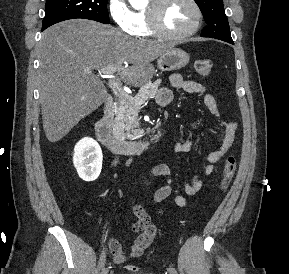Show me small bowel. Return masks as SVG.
Segmentation results:
<instances>
[{"instance_id": "1", "label": "small bowel", "mask_w": 289, "mask_h": 274, "mask_svg": "<svg viewBox=\"0 0 289 274\" xmlns=\"http://www.w3.org/2000/svg\"><path fill=\"white\" fill-rule=\"evenodd\" d=\"M170 84L173 88L181 90L188 94H199L203 97V102L207 109L216 117L220 118V111L218 109L215 97L206 91L204 85L192 80H184L181 75L174 74L170 77ZM173 99V93L168 88H161L157 95V102L161 106H168ZM221 131L218 135L215 148L207 155L202 157L204 162L201 173L205 176L212 175L215 172V164L219 162L223 156L231 148L236 131L237 123L233 121L221 120ZM192 149V142L176 141L173 145V150L177 153H188ZM115 160L113 164H116ZM171 169L166 164H158L154 166L148 173L144 186L155 177H165V184L160 187L153 195V202L159 203L168 196H173L174 202L178 207H185L188 204L187 198L179 192L173 185ZM204 186V182L195 175L190 180L184 183L183 189L187 196H195ZM133 213L137 221L132 226V231L137 234L134 243L128 252L121 246L116 239L109 241V250L113 256L116 264H121L127 259L137 258L141 256L144 251L151 245L156 236V226L152 223L148 213L140 206L135 205Z\"/></svg>"}]
</instances>
